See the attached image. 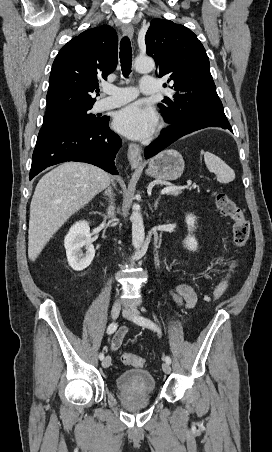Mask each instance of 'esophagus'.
<instances>
[{"label": "esophagus", "mask_w": 272, "mask_h": 452, "mask_svg": "<svg viewBox=\"0 0 272 452\" xmlns=\"http://www.w3.org/2000/svg\"><path fill=\"white\" fill-rule=\"evenodd\" d=\"M122 32L125 36L133 37V27L130 24L122 26ZM128 160L132 168L139 167L142 163V149L138 144L130 143L128 147Z\"/></svg>", "instance_id": "1"}]
</instances>
